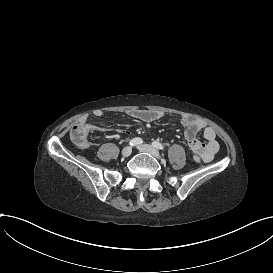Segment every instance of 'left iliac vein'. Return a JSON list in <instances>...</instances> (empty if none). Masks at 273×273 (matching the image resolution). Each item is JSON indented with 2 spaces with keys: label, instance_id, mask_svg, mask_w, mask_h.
<instances>
[{
  "label": "left iliac vein",
  "instance_id": "obj_1",
  "mask_svg": "<svg viewBox=\"0 0 273 273\" xmlns=\"http://www.w3.org/2000/svg\"><path fill=\"white\" fill-rule=\"evenodd\" d=\"M138 149L140 150V152H146L153 155L155 158H160L159 151L156 148L152 147L151 145L144 144L139 146Z\"/></svg>",
  "mask_w": 273,
  "mask_h": 273
}]
</instances>
